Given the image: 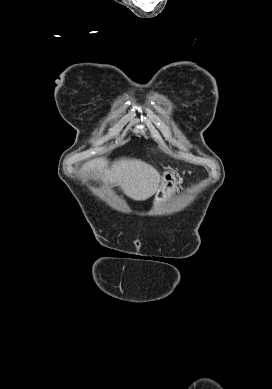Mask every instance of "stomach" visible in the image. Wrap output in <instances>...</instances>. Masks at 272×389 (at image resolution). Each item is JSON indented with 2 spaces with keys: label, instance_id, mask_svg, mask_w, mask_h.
<instances>
[{
  "label": "stomach",
  "instance_id": "stomach-1",
  "mask_svg": "<svg viewBox=\"0 0 272 389\" xmlns=\"http://www.w3.org/2000/svg\"><path fill=\"white\" fill-rule=\"evenodd\" d=\"M177 179L173 171H166L163 174L161 186L159 187L154 200V206L166 203L175 194Z\"/></svg>",
  "mask_w": 272,
  "mask_h": 389
}]
</instances>
